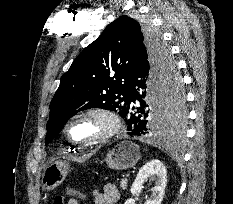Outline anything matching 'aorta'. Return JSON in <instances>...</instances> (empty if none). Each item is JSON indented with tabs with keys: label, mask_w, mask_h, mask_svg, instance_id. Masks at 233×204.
Returning a JSON list of instances; mask_svg holds the SVG:
<instances>
[{
	"label": "aorta",
	"mask_w": 233,
	"mask_h": 204,
	"mask_svg": "<svg viewBox=\"0 0 233 204\" xmlns=\"http://www.w3.org/2000/svg\"><path fill=\"white\" fill-rule=\"evenodd\" d=\"M153 107L155 108L154 104H153ZM158 109H159V106H158V108H157V106H156V110H158Z\"/></svg>",
	"instance_id": "1"
}]
</instances>
